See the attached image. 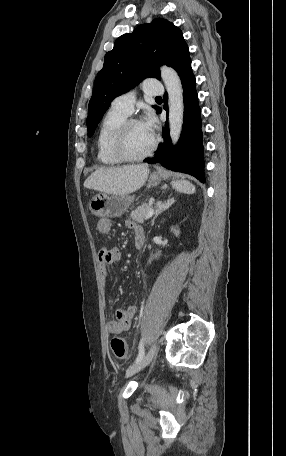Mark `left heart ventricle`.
I'll return each instance as SVG.
<instances>
[{"label": "left heart ventricle", "instance_id": "b2bd125f", "mask_svg": "<svg viewBox=\"0 0 286 456\" xmlns=\"http://www.w3.org/2000/svg\"><path fill=\"white\" fill-rule=\"evenodd\" d=\"M153 136L148 132L142 123H136L129 127L124 149L130 156H140L151 146Z\"/></svg>", "mask_w": 286, "mask_h": 456}]
</instances>
